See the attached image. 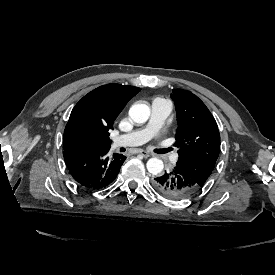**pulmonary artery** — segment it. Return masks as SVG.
I'll use <instances>...</instances> for the list:
<instances>
[{
  "instance_id": "obj_1",
  "label": "pulmonary artery",
  "mask_w": 275,
  "mask_h": 275,
  "mask_svg": "<svg viewBox=\"0 0 275 275\" xmlns=\"http://www.w3.org/2000/svg\"><path fill=\"white\" fill-rule=\"evenodd\" d=\"M152 109L153 114L148 127L119 135L113 140L112 146L114 148L138 146L152 137V140L156 141L155 143L157 147H163V150H166V147H164L166 143L165 139L161 138V133L157 131L155 132V130L163 123L165 119L163 115L170 112L171 103L164 97H157L152 102ZM168 155L171 164L176 165L179 163L180 158L177 153L168 152Z\"/></svg>"
}]
</instances>
